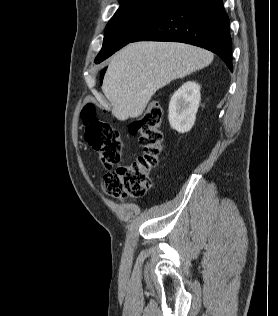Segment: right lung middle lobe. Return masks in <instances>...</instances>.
I'll use <instances>...</instances> for the list:
<instances>
[{
	"instance_id": "obj_1",
	"label": "right lung middle lobe",
	"mask_w": 278,
	"mask_h": 316,
	"mask_svg": "<svg viewBox=\"0 0 278 316\" xmlns=\"http://www.w3.org/2000/svg\"><path fill=\"white\" fill-rule=\"evenodd\" d=\"M120 7L105 29L103 46L95 62L100 63L131 42L164 8L168 0H119Z\"/></svg>"
}]
</instances>
